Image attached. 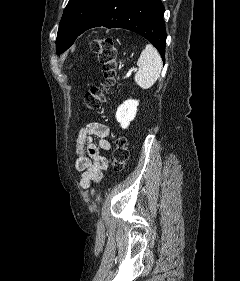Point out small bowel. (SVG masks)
Wrapping results in <instances>:
<instances>
[{
	"label": "small bowel",
	"instance_id": "small-bowel-1",
	"mask_svg": "<svg viewBox=\"0 0 240 281\" xmlns=\"http://www.w3.org/2000/svg\"><path fill=\"white\" fill-rule=\"evenodd\" d=\"M108 136L109 127L100 122H90L78 133L75 168L81 172L80 186L85 190L89 189L91 194H94L91 183L100 181L103 171L108 167V160L102 154V151L111 149ZM94 137L99 140L97 144L93 141Z\"/></svg>",
	"mask_w": 240,
	"mask_h": 281
}]
</instances>
